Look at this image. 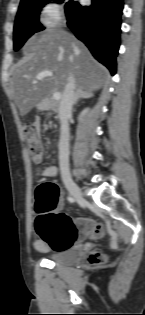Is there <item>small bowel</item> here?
Here are the masks:
<instances>
[{
	"label": "small bowel",
	"mask_w": 145,
	"mask_h": 315,
	"mask_svg": "<svg viewBox=\"0 0 145 315\" xmlns=\"http://www.w3.org/2000/svg\"><path fill=\"white\" fill-rule=\"evenodd\" d=\"M34 125L37 129L40 127V122L38 120H35ZM37 175L39 177H55L57 175V168L53 164L45 165L43 168H41ZM60 198V197H59ZM63 201L61 199V205H59L60 210L62 208ZM34 248L39 253H47L50 251L49 245L42 241L40 238L34 241Z\"/></svg>",
	"instance_id": "obj_1"
}]
</instances>
